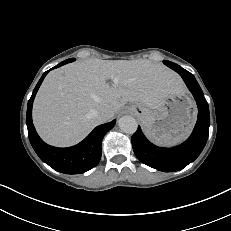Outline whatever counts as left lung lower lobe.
<instances>
[{
	"label": "left lung lower lobe",
	"mask_w": 231,
	"mask_h": 231,
	"mask_svg": "<svg viewBox=\"0 0 231 231\" xmlns=\"http://www.w3.org/2000/svg\"><path fill=\"white\" fill-rule=\"evenodd\" d=\"M173 70L182 76L198 106V120L192 134L184 143L173 148H161L153 145L143 135L140 127L131 139L136 157L143 164L163 172L178 171L193 162L207 142L210 125L208 103L193 74L182 67Z\"/></svg>",
	"instance_id": "obj_1"
}]
</instances>
